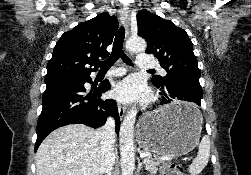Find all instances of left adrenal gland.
<instances>
[{
    "label": "left adrenal gland",
    "instance_id": "1",
    "mask_svg": "<svg viewBox=\"0 0 251 175\" xmlns=\"http://www.w3.org/2000/svg\"><path fill=\"white\" fill-rule=\"evenodd\" d=\"M137 161H138L137 171L139 173V171H141V169H142V161H141V159H139V157H138Z\"/></svg>",
    "mask_w": 251,
    "mask_h": 175
}]
</instances>
